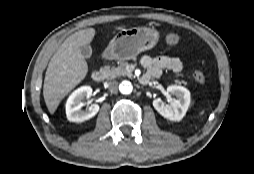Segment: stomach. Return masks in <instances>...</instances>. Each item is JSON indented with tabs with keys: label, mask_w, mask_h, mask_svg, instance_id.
I'll return each mask as SVG.
<instances>
[{
	"label": "stomach",
	"mask_w": 254,
	"mask_h": 174,
	"mask_svg": "<svg viewBox=\"0 0 254 174\" xmlns=\"http://www.w3.org/2000/svg\"><path fill=\"white\" fill-rule=\"evenodd\" d=\"M158 40L159 32L154 27L122 29L110 41L103 55L111 60H129L140 52L153 48Z\"/></svg>",
	"instance_id": "obj_1"
}]
</instances>
